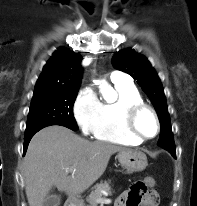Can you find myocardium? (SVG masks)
<instances>
[{"mask_svg":"<svg viewBox=\"0 0 197 206\" xmlns=\"http://www.w3.org/2000/svg\"><path fill=\"white\" fill-rule=\"evenodd\" d=\"M143 112H149L156 123V132L153 136H144L137 127V119ZM123 124L125 130L139 141H146L155 138L160 132V120L153 107L146 103H137L127 106L123 111Z\"/></svg>","mask_w":197,"mask_h":206,"instance_id":"myocardium-1","label":"myocardium"}]
</instances>
